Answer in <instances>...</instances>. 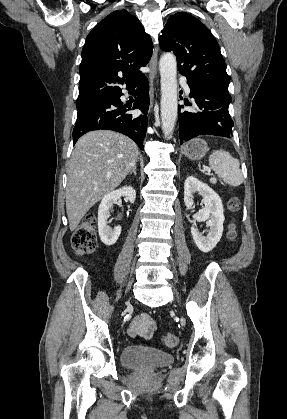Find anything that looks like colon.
<instances>
[{"mask_svg": "<svg viewBox=\"0 0 287 419\" xmlns=\"http://www.w3.org/2000/svg\"><path fill=\"white\" fill-rule=\"evenodd\" d=\"M240 203L237 198L232 197L228 201V208L231 212L239 209ZM96 218L94 214H88L83 222L78 226L72 237V247L76 255L84 256L92 253L97 245V237L95 232ZM229 238H235L234 226H231ZM162 344L165 347L173 348L178 344V337L174 333H167L162 337Z\"/></svg>", "mask_w": 287, "mask_h": 419, "instance_id": "obj_1", "label": "colon"}]
</instances>
